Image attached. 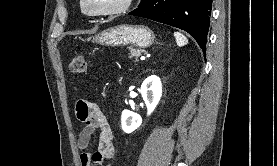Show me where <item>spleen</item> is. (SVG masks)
Instances as JSON below:
<instances>
[{
  "label": "spleen",
  "instance_id": "spleen-1",
  "mask_svg": "<svg viewBox=\"0 0 277 166\" xmlns=\"http://www.w3.org/2000/svg\"><path fill=\"white\" fill-rule=\"evenodd\" d=\"M174 37L179 47H182L188 43V39L180 32H174Z\"/></svg>",
  "mask_w": 277,
  "mask_h": 166
}]
</instances>
